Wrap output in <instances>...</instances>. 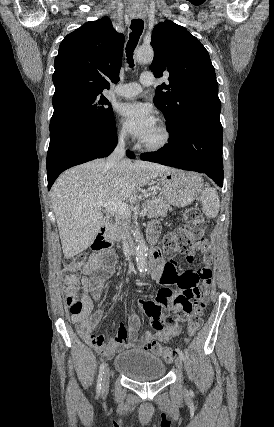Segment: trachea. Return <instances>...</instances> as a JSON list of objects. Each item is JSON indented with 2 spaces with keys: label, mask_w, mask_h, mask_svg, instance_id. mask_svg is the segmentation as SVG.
<instances>
[{
  "label": "trachea",
  "mask_w": 274,
  "mask_h": 427,
  "mask_svg": "<svg viewBox=\"0 0 274 427\" xmlns=\"http://www.w3.org/2000/svg\"><path fill=\"white\" fill-rule=\"evenodd\" d=\"M130 28L132 32L130 33L129 41L126 46V56L127 62L131 68L134 67L133 61V52L138 43V40L143 32L144 22L140 18H135L131 21Z\"/></svg>",
  "instance_id": "3493384b"
}]
</instances>
